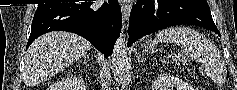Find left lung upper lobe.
<instances>
[{"label":"left lung upper lobe","instance_id":"5c2ea615","mask_svg":"<svg viewBox=\"0 0 237 90\" xmlns=\"http://www.w3.org/2000/svg\"><path fill=\"white\" fill-rule=\"evenodd\" d=\"M193 2H197V3H204L207 4V2L205 0H191Z\"/></svg>","mask_w":237,"mask_h":90}]
</instances>
